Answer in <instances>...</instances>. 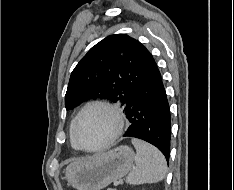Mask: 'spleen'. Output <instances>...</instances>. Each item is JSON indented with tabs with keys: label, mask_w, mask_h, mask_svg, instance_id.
<instances>
[{
	"label": "spleen",
	"mask_w": 234,
	"mask_h": 190,
	"mask_svg": "<svg viewBox=\"0 0 234 190\" xmlns=\"http://www.w3.org/2000/svg\"><path fill=\"white\" fill-rule=\"evenodd\" d=\"M132 144L136 149V167L126 177V182L140 185L162 181L167 172L164 155L156 147L140 139L133 138Z\"/></svg>",
	"instance_id": "3e777b00"
}]
</instances>
